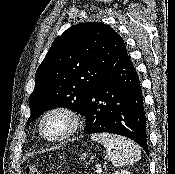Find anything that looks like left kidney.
<instances>
[{"mask_svg": "<svg viewBox=\"0 0 175 174\" xmlns=\"http://www.w3.org/2000/svg\"><path fill=\"white\" fill-rule=\"evenodd\" d=\"M113 174H131V173L127 170H121L120 172H116V173H113Z\"/></svg>", "mask_w": 175, "mask_h": 174, "instance_id": "obj_1", "label": "left kidney"}]
</instances>
